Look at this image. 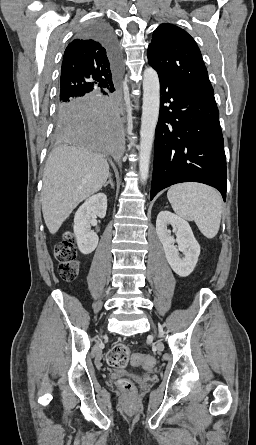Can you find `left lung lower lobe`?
I'll return each instance as SVG.
<instances>
[{
    "label": "left lung lower lobe",
    "mask_w": 256,
    "mask_h": 445,
    "mask_svg": "<svg viewBox=\"0 0 256 445\" xmlns=\"http://www.w3.org/2000/svg\"><path fill=\"white\" fill-rule=\"evenodd\" d=\"M160 79V113L155 131L150 199L181 182L217 188L226 199V159L214 94L176 79Z\"/></svg>",
    "instance_id": "obj_1"
}]
</instances>
